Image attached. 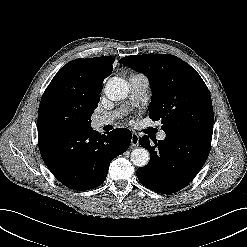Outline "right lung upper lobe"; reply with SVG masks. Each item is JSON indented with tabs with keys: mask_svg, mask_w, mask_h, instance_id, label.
<instances>
[{
	"mask_svg": "<svg viewBox=\"0 0 247 247\" xmlns=\"http://www.w3.org/2000/svg\"><path fill=\"white\" fill-rule=\"evenodd\" d=\"M114 58L110 56L76 59L71 61L78 67L79 78L92 92L99 94L102 91L103 80L112 72Z\"/></svg>",
	"mask_w": 247,
	"mask_h": 247,
	"instance_id": "cb5924a9",
	"label": "right lung upper lobe"
}]
</instances>
